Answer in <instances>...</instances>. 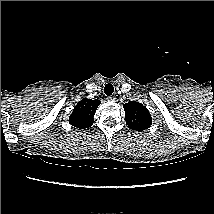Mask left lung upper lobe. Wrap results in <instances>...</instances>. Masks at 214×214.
I'll return each instance as SVG.
<instances>
[{"label":"left lung upper lobe","instance_id":"5c2ea615","mask_svg":"<svg viewBox=\"0 0 214 214\" xmlns=\"http://www.w3.org/2000/svg\"><path fill=\"white\" fill-rule=\"evenodd\" d=\"M126 124L130 129L143 131L152 124L148 109L137 101L124 104Z\"/></svg>","mask_w":214,"mask_h":214}]
</instances>
